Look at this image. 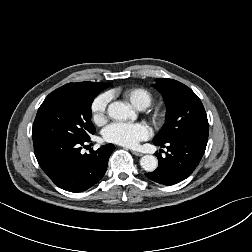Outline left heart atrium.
I'll return each mask as SVG.
<instances>
[{
    "label": "left heart atrium",
    "instance_id": "left-heart-atrium-1",
    "mask_svg": "<svg viewBox=\"0 0 252 252\" xmlns=\"http://www.w3.org/2000/svg\"><path fill=\"white\" fill-rule=\"evenodd\" d=\"M150 128L144 123L115 122L105 128L104 139L107 142L134 147L150 136Z\"/></svg>",
    "mask_w": 252,
    "mask_h": 252
}]
</instances>
